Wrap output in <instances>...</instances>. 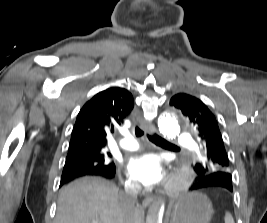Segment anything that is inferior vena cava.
Instances as JSON below:
<instances>
[{
    "mask_svg": "<svg viewBox=\"0 0 267 223\" xmlns=\"http://www.w3.org/2000/svg\"><path fill=\"white\" fill-rule=\"evenodd\" d=\"M140 189L141 186L138 183H131L125 187V192L123 193V223H134L133 212L137 204V196Z\"/></svg>",
    "mask_w": 267,
    "mask_h": 223,
    "instance_id": "1",
    "label": "inferior vena cava"
}]
</instances>
